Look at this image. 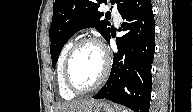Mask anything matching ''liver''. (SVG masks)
I'll return each instance as SVG.
<instances>
[{
  "instance_id": "obj_1",
  "label": "liver",
  "mask_w": 193,
  "mask_h": 112,
  "mask_svg": "<svg viewBox=\"0 0 193 112\" xmlns=\"http://www.w3.org/2000/svg\"><path fill=\"white\" fill-rule=\"evenodd\" d=\"M97 100H75L58 105L55 112H84L88 110Z\"/></svg>"
}]
</instances>
